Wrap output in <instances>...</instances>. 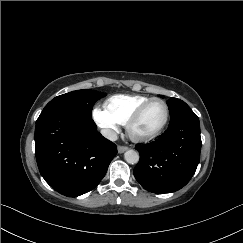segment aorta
<instances>
[{"label": "aorta", "mask_w": 243, "mask_h": 243, "mask_svg": "<svg viewBox=\"0 0 243 243\" xmlns=\"http://www.w3.org/2000/svg\"><path fill=\"white\" fill-rule=\"evenodd\" d=\"M124 158L129 164H136L139 161V153L135 150H128L124 154Z\"/></svg>", "instance_id": "obj_1"}]
</instances>
